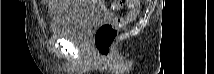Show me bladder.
Returning a JSON list of instances; mask_svg holds the SVG:
<instances>
[{"label":"bladder","instance_id":"bladder-1","mask_svg":"<svg viewBox=\"0 0 214 74\" xmlns=\"http://www.w3.org/2000/svg\"><path fill=\"white\" fill-rule=\"evenodd\" d=\"M72 5L56 13L50 23L51 32L72 41H82L104 11L92 1H71Z\"/></svg>","mask_w":214,"mask_h":74}]
</instances>
